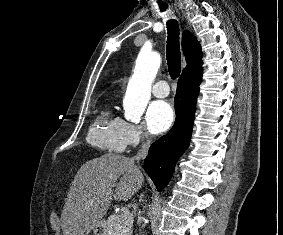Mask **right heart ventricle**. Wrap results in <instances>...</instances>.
<instances>
[{
	"instance_id": "e07e8e85",
	"label": "right heart ventricle",
	"mask_w": 283,
	"mask_h": 235,
	"mask_svg": "<svg viewBox=\"0 0 283 235\" xmlns=\"http://www.w3.org/2000/svg\"><path fill=\"white\" fill-rule=\"evenodd\" d=\"M87 141L90 145L108 152L121 153L127 146L124 121L111 106L103 109L90 126Z\"/></svg>"
}]
</instances>
